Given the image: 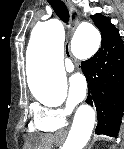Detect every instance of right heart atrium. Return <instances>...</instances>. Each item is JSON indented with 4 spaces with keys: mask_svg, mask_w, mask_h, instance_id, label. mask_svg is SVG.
Instances as JSON below:
<instances>
[{
    "mask_svg": "<svg viewBox=\"0 0 124 149\" xmlns=\"http://www.w3.org/2000/svg\"><path fill=\"white\" fill-rule=\"evenodd\" d=\"M69 112L67 108H35V120L58 129L64 125Z\"/></svg>",
    "mask_w": 124,
    "mask_h": 149,
    "instance_id": "obj_1",
    "label": "right heart atrium"
}]
</instances>
